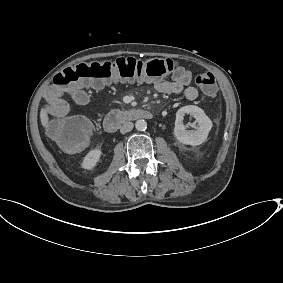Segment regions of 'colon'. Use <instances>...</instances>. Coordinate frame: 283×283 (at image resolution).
<instances>
[{"mask_svg": "<svg viewBox=\"0 0 283 283\" xmlns=\"http://www.w3.org/2000/svg\"><path fill=\"white\" fill-rule=\"evenodd\" d=\"M177 68L171 59L117 58L115 60L80 63L58 73L54 84L67 89L78 104L87 102L83 87L100 88L110 81L159 80ZM195 83L206 95L217 91L215 77L210 72L199 73ZM93 133V123L84 116L73 115L53 121L49 126L50 137L64 150L75 152L83 149Z\"/></svg>", "mask_w": 283, "mask_h": 283, "instance_id": "1", "label": "colon"}]
</instances>
